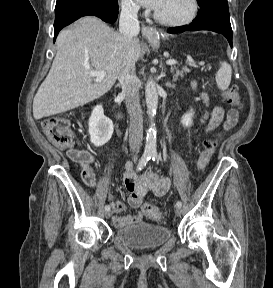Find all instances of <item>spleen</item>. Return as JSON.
Instances as JSON below:
<instances>
[{
    "label": "spleen",
    "mask_w": 273,
    "mask_h": 288,
    "mask_svg": "<svg viewBox=\"0 0 273 288\" xmlns=\"http://www.w3.org/2000/svg\"><path fill=\"white\" fill-rule=\"evenodd\" d=\"M232 68L227 62H222L216 73V83L220 90L228 89L231 82Z\"/></svg>",
    "instance_id": "spleen-1"
}]
</instances>
